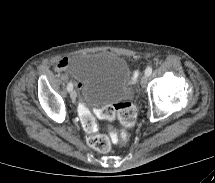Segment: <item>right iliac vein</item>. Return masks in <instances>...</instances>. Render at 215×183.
Segmentation results:
<instances>
[{"instance_id": "63e3f726", "label": "right iliac vein", "mask_w": 215, "mask_h": 183, "mask_svg": "<svg viewBox=\"0 0 215 183\" xmlns=\"http://www.w3.org/2000/svg\"><path fill=\"white\" fill-rule=\"evenodd\" d=\"M70 97H71L72 101L75 102L76 97H77V93L75 90H71Z\"/></svg>"}]
</instances>
